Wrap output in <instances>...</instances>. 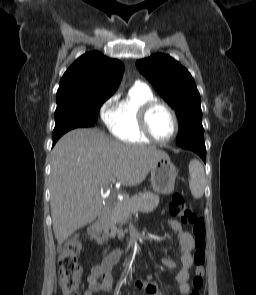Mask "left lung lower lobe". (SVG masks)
<instances>
[{"label": "left lung lower lobe", "instance_id": "0a47b994", "mask_svg": "<svg viewBox=\"0 0 256 295\" xmlns=\"http://www.w3.org/2000/svg\"><path fill=\"white\" fill-rule=\"evenodd\" d=\"M180 147L194 151L203 159L204 162H206V148H205L204 142L203 143L197 142V143H192V144H185Z\"/></svg>", "mask_w": 256, "mask_h": 295}]
</instances>
